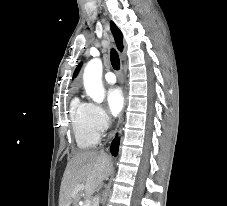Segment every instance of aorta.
<instances>
[{
  "label": "aorta",
  "mask_w": 227,
  "mask_h": 206,
  "mask_svg": "<svg viewBox=\"0 0 227 206\" xmlns=\"http://www.w3.org/2000/svg\"><path fill=\"white\" fill-rule=\"evenodd\" d=\"M102 70L101 60L94 58L88 62L83 74L86 95L96 103H102L105 98V90L102 84Z\"/></svg>",
  "instance_id": "1"
}]
</instances>
